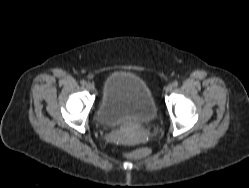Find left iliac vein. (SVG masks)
<instances>
[{
    "instance_id": "left-iliac-vein-1",
    "label": "left iliac vein",
    "mask_w": 249,
    "mask_h": 188,
    "mask_svg": "<svg viewBox=\"0 0 249 188\" xmlns=\"http://www.w3.org/2000/svg\"><path fill=\"white\" fill-rule=\"evenodd\" d=\"M172 89H173V86H172L171 84H168V85L165 87V92H170Z\"/></svg>"
}]
</instances>
